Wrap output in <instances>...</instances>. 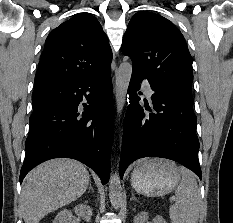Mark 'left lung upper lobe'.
Segmentation results:
<instances>
[{"label":"left lung upper lobe","mask_w":233,"mask_h":223,"mask_svg":"<svg viewBox=\"0 0 233 223\" xmlns=\"http://www.w3.org/2000/svg\"><path fill=\"white\" fill-rule=\"evenodd\" d=\"M122 52L152 90L193 98V60L182 33L168 19L147 11L136 13L124 34Z\"/></svg>","instance_id":"1"}]
</instances>
